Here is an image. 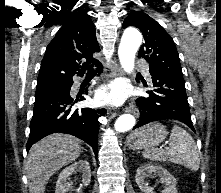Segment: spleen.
Masks as SVG:
<instances>
[{
	"label": "spleen",
	"instance_id": "obj_1",
	"mask_svg": "<svg viewBox=\"0 0 221 193\" xmlns=\"http://www.w3.org/2000/svg\"><path fill=\"white\" fill-rule=\"evenodd\" d=\"M170 149L149 148L143 156L151 161H170L197 171L200 165L199 151L192 136L183 128L175 125L169 138Z\"/></svg>",
	"mask_w": 221,
	"mask_h": 193
}]
</instances>
